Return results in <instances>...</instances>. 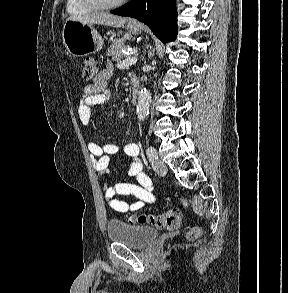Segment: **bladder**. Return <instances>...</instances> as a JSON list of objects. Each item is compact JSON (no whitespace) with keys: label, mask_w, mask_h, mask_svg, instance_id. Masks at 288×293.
Here are the masks:
<instances>
[{"label":"bladder","mask_w":288,"mask_h":293,"mask_svg":"<svg viewBox=\"0 0 288 293\" xmlns=\"http://www.w3.org/2000/svg\"><path fill=\"white\" fill-rule=\"evenodd\" d=\"M107 234L112 242L134 249H142L147 247L157 237L158 232L150 226L110 220L107 223Z\"/></svg>","instance_id":"bladder-1"}]
</instances>
